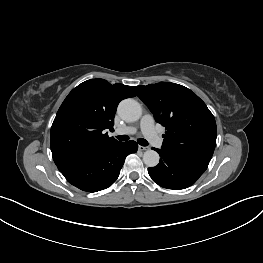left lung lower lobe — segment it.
Returning <instances> with one entry per match:
<instances>
[{
    "mask_svg": "<svg viewBox=\"0 0 263 263\" xmlns=\"http://www.w3.org/2000/svg\"><path fill=\"white\" fill-rule=\"evenodd\" d=\"M161 159L157 166L148 168L150 177L158 185L174 190L191 186L205 172L208 164L182 158L161 149H155Z\"/></svg>",
    "mask_w": 263,
    "mask_h": 263,
    "instance_id": "left-lung-lower-lobe-1",
    "label": "left lung lower lobe"
}]
</instances>
